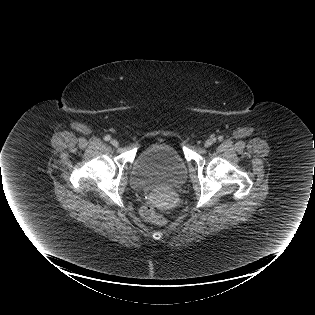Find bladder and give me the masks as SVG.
I'll list each match as a JSON object with an SVG mask.
<instances>
[{
  "mask_svg": "<svg viewBox=\"0 0 315 315\" xmlns=\"http://www.w3.org/2000/svg\"><path fill=\"white\" fill-rule=\"evenodd\" d=\"M186 177L187 169L180 153L170 144L155 143L135 160L130 181L135 189L153 190L178 187Z\"/></svg>",
  "mask_w": 315,
  "mask_h": 315,
  "instance_id": "bladder-1",
  "label": "bladder"
}]
</instances>
